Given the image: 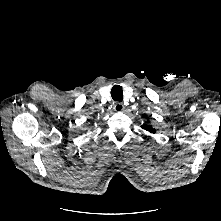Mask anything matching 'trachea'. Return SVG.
<instances>
[{
    "mask_svg": "<svg viewBox=\"0 0 221 221\" xmlns=\"http://www.w3.org/2000/svg\"><path fill=\"white\" fill-rule=\"evenodd\" d=\"M111 97L114 101L122 102L123 100V90L121 86H114L111 89Z\"/></svg>",
    "mask_w": 221,
    "mask_h": 221,
    "instance_id": "obj_1",
    "label": "trachea"
}]
</instances>
